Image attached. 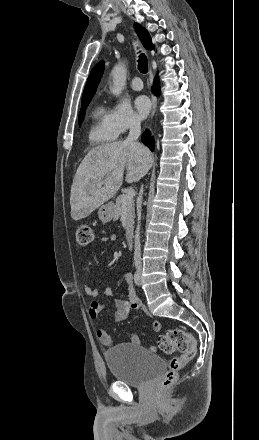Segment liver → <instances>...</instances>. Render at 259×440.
I'll use <instances>...</instances> for the list:
<instances>
[{
    "mask_svg": "<svg viewBox=\"0 0 259 440\" xmlns=\"http://www.w3.org/2000/svg\"><path fill=\"white\" fill-rule=\"evenodd\" d=\"M152 161L146 147L126 141L93 148L82 160L73 180L71 217L80 220L89 216L117 193L125 170L128 183L138 182L150 170Z\"/></svg>",
    "mask_w": 259,
    "mask_h": 440,
    "instance_id": "1",
    "label": "liver"
}]
</instances>
